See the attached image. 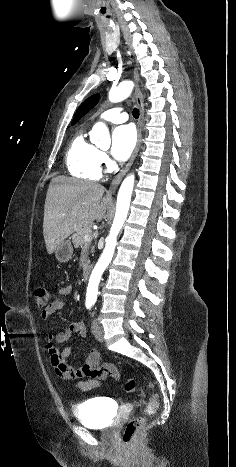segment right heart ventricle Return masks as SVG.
Wrapping results in <instances>:
<instances>
[{"instance_id":"e07e8e85","label":"right heart ventricle","mask_w":236,"mask_h":467,"mask_svg":"<svg viewBox=\"0 0 236 467\" xmlns=\"http://www.w3.org/2000/svg\"><path fill=\"white\" fill-rule=\"evenodd\" d=\"M99 150L87 139L83 131L72 139L66 153V167L70 175L84 180H99L101 168Z\"/></svg>"}]
</instances>
